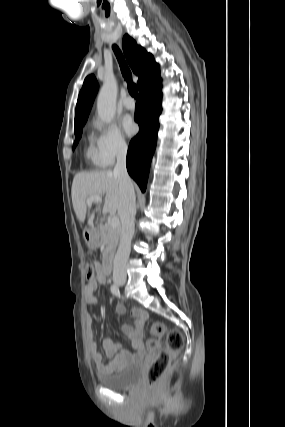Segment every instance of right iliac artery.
Listing matches in <instances>:
<instances>
[{
	"mask_svg": "<svg viewBox=\"0 0 285 427\" xmlns=\"http://www.w3.org/2000/svg\"><path fill=\"white\" fill-rule=\"evenodd\" d=\"M110 289L113 295L120 297V290L115 284H113Z\"/></svg>",
	"mask_w": 285,
	"mask_h": 427,
	"instance_id": "82829eb1",
	"label": "right iliac artery"
}]
</instances>
